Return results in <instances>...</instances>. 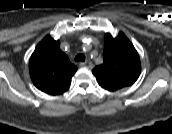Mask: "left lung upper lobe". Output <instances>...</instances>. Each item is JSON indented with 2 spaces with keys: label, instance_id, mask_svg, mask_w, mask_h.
Here are the masks:
<instances>
[{
  "label": "left lung upper lobe",
  "instance_id": "left-lung-upper-lobe-1",
  "mask_svg": "<svg viewBox=\"0 0 172 134\" xmlns=\"http://www.w3.org/2000/svg\"><path fill=\"white\" fill-rule=\"evenodd\" d=\"M92 72L98 84L109 91L135 83L141 72L140 58L124 33L120 32L116 38L105 34L103 64Z\"/></svg>",
  "mask_w": 172,
  "mask_h": 134
}]
</instances>
